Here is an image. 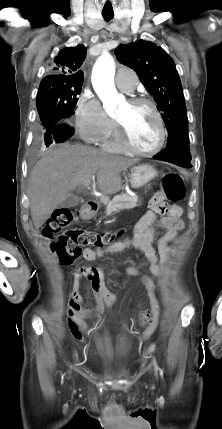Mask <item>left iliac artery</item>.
<instances>
[{"label":"left iliac artery","mask_w":222,"mask_h":429,"mask_svg":"<svg viewBox=\"0 0 222 429\" xmlns=\"http://www.w3.org/2000/svg\"><path fill=\"white\" fill-rule=\"evenodd\" d=\"M154 365H155V370L158 369L157 365H156V361L154 360Z\"/></svg>","instance_id":"1"}]
</instances>
